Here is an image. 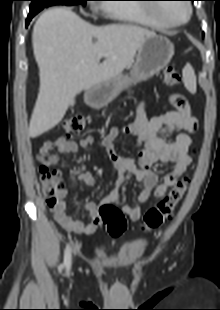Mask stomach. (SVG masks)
Segmentation results:
<instances>
[{"label":"stomach","mask_w":220,"mask_h":310,"mask_svg":"<svg viewBox=\"0 0 220 310\" xmlns=\"http://www.w3.org/2000/svg\"><path fill=\"white\" fill-rule=\"evenodd\" d=\"M174 54V46L162 35L147 37L139 47L130 76L120 75L88 89L85 101L92 107L110 103L130 84L145 81L166 67Z\"/></svg>","instance_id":"stomach-1"}]
</instances>
